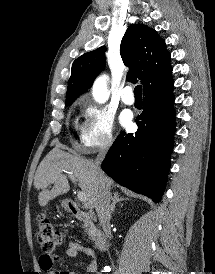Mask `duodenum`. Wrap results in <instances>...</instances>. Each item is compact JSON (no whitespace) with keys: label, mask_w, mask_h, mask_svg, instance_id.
<instances>
[{"label":"duodenum","mask_w":215,"mask_h":274,"mask_svg":"<svg viewBox=\"0 0 215 274\" xmlns=\"http://www.w3.org/2000/svg\"><path fill=\"white\" fill-rule=\"evenodd\" d=\"M68 208L70 213L78 220L86 223H92L94 221L93 215L81 210L73 201H68ZM95 247L100 252H105L108 247V242L105 234L96 230L94 234Z\"/></svg>","instance_id":"410a0bca"}]
</instances>
